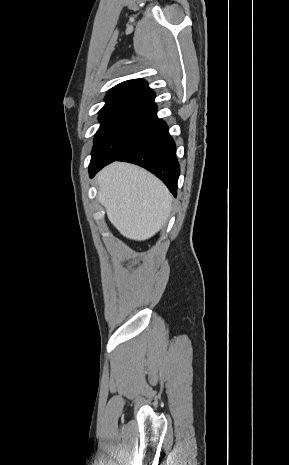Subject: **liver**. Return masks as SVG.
I'll use <instances>...</instances> for the list:
<instances>
[{
    "mask_svg": "<svg viewBox=\"0 0 289 465\" xmlns=\"http://www.w3.org/2000/svg\"><path fill=\"white\" fill-rule=\"evenodd\" d=\"M98 200L109 221L125 237L142 241L166 223L172 197L166 186L148 171L114 162L97 175Z\"/></svg>",
    "mask_w": 289,
    "mask_h": 465,
    "instance_id": "1",
    "label": "liver"
}]
</instances>
